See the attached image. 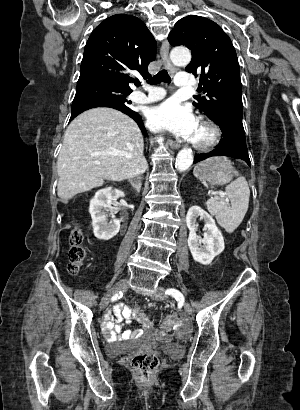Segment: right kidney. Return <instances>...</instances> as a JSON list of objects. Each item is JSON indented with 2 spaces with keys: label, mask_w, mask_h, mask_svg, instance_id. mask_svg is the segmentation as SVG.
<instances>
[{
  "label": "right kidney",
  "mask_w": 300,
  "mask_h": 410,
  "mask_svg": "<svg viewBox=\"0 0 300 410\" xmlns=\"http://www.w3.org/2000/svg\"><path fill=\"white\" fill-rule=\"evenodd\" d=\"M124 196V192L108 187L97 191L90 200L89 213L96 238L109 240L117 235L120 230V221L115 218L111 204ZM108 217H111L110 221Z\"/></svg>",
  "instance_id": "obj_1"
}]
</instances>
